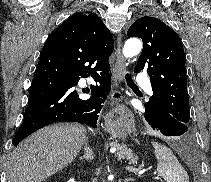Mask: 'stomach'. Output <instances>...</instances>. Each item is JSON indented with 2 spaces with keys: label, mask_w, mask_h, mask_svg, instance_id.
<instances>
[{
  "label": "stomach",
  "mask_w": 211,
  "mask_h": 182,
  "mask_svg": "<svg viewBox=\"0 0 211 182\" xmlns=\"http://www.w3.org/2000/svg\"><path fill=\"white\" fill-rule=\"evenodd\" d=\"M114 136L116 137H124V134H122L121 132H113Z\"/></svg>",
  "instance_id": "0dacf381"
}]
</instances>
